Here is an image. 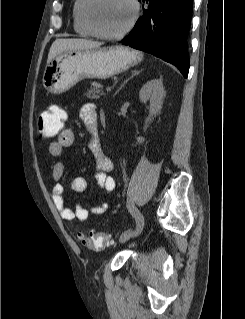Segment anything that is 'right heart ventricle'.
Segmentation results:
<instances>
[{"mask_svg": "<svg viewBox=\"0 0 245 319\" xmlns=\"http://www.w3.org/2000/svg\"><path fill=\"white\" fill-rule=\"evenodd\" d=\"M85 3L86 0H74L72 7L73 27L75 32L81 36H94L84 20L83 8Z\"/></svg>", "mask_w": 245, "mask_h": 319, "instance_id": "e07e8e85", "label": "right heart ventricle"}]
</instances>
